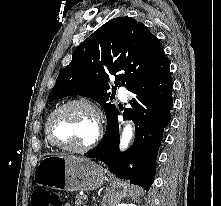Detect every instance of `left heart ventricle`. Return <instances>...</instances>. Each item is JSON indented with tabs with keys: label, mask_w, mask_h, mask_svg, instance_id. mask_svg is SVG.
<instances>
[{
	"label": "left heart ventricle",
	"mask_w": 221,
	"mask_h": 206,
	"mask_svg": "<svg viewBox=\"0 0 221 206\" xmlns=\"http://www.w3.org/2000/svg\"><path fill=\"white\" fill-rule=\"evenodd\" d=\"M95 130L91 113L81 106H71L53 119L51 134L53 139L63 145L80 147L88 143Z\"/></svg>",
	"instance_id": "obj_1"
}]
</instances>
